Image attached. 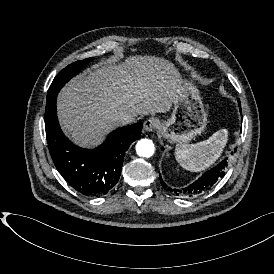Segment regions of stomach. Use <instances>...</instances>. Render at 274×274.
<instances>
[{"instance_id": "0dacf381", "label": "stomach", "mask_w": 274, "mask_h": 274, "mask_svg": "<svg viewBox=\"0 0 274 274\" xmlns=\"http://www.w3.org/2000/svg\"><path fill=\"white\" fill-rule=\"evenodd\" d=\"M171 117L161 122L159 134L170 143L187 144L207 125V113L196 86L181 80L175 95Z\"/></svg>"}]
</instances>
